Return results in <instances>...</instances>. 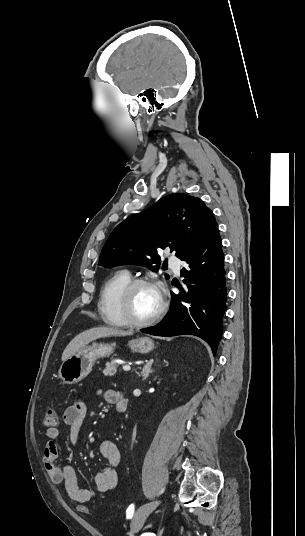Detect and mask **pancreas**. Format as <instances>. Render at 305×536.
<instances>
[{"label":"pancreas","mask_w":305,"mask_h":536,"mask_svg":"<svg viewBox=\"0 0 305 536\" xmlns=\"http://www.w3.org/2000/svg\"><path fill=\"white\" fill-rule=\"evenodd\" d=\"M120 366V364H116L115 360H112L111 364L110 362H106V368L102 370L104 376H114L117 372V368Z\"/></svg>","instance_id":"pancreas-1"}]
</instances>
